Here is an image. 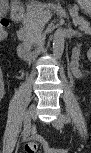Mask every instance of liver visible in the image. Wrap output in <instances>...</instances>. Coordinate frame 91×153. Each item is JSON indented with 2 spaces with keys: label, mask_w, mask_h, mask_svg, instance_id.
<instances>
[{
  "label": "liver",
  "mask_w": 91,
  "mask_h": 153,
  "mask_svg": "<svg viewBox=\"0 0 91 153\" xmlns=\"http://www.w3.org/2000/svg\"><path fill=\"white\" fill-rule=\"evenodd\" d=\"M7 2H8L7 0H4V1H3V3H5V4H7Z\"/></svg>",
  "instance_id": "1"
}]
</instances>
